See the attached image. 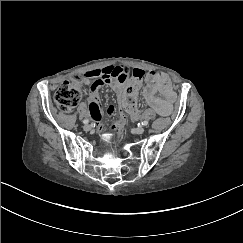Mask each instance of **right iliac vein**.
Listing matches in <instances>:
<instances>
[{
    "label": "right iliac vein",
    "mask_w": 243,
    "mask_h": 243,
    "mask_svg": "<svg viewBox=\"0 0 243 243\" xmlns=\"http://www.w3.org/2000/svg\"><path fill=\"white\" fill-rule=\"evenodd\" d=\"M83 129H84V131L88 132V131H90L91 126L86 124V125L83 126Z\"/></svg>",
    "instance_id": "right-iliac-vein-1"
}]
</instances>
